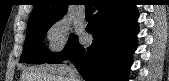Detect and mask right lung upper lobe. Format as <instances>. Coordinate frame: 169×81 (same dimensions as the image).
<instances>
[{
	"label": "right lung upper lobe",
	"mask_w": 169,
	"mask_h": 81,
	"mask_svg": "<svg viewBox=\"0 0 169 81\" xmlns=\"http://www.w3.org/2000/svg\"><path fill=\"white\" fill-rule=\"evenodd\" d=\"M34 8L28 25L49 19L61 18L67 11L70 0H34Z\"/></svg>",
	"instance_id": "1"
}]
</instances>
